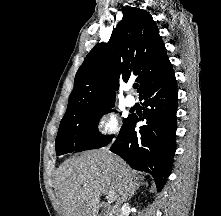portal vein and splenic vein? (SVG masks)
<instances>
[{"label": "portal vein and splenic vein", "mask_w": 221, "mask_h": 216, "mask_svg": "<svg viewBox=\"0 0 221 216\" xmlns=\"http://www.w3.org/2000/svg\"><path fill=\"white\" fill-rule=\"evenodd\" d=\"M107 198L109 199V200H111V199H113V195L110 193V194H107Z\"/></svg>", "instance_id": "18ae733b"}]
</instances>
